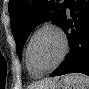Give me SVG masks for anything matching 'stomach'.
<instances>
[{
	"instance_id": "0dacf381",
	"label": "stomach",
	"mask_w": 89,
	"mask_h": 89,
	"mask_svg": "<svg viewBox=\"0 0 89 89\" xmlns=\"http://www.w3.org/2000/svg\"><path fill=\"white\" fill-rule=\"evenodd\" d=\"M46 89H68V85L61 79L60 81L46 87Z\"/></svg>"
}]
</instances>
